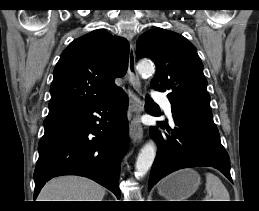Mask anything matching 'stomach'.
Returning a JSON list of instances; mask_svg holds the SVG:
<instances>
[{"label":"stomach","instance_id":"obj_1","mask_svg":"<svg viewBox=\"0 0 259 211\" xmlns=\"http://www.w3.org/2000/svg\"><path fill=\"white\" fill-rule=\"evenodd\" d=\"M199 185V174L193 169H183L163 179L158 192L168 201H183L195 193Z\"/></svg>","mask_w":259,"mask_h":211}]
</instances>
